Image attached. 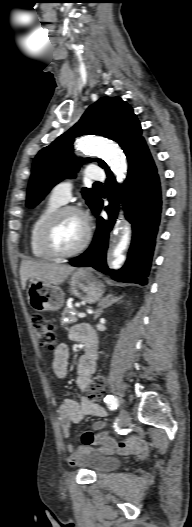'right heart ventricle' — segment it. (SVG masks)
Instances as JSON below:
<instances>
[{"label":"right heart ventricle","instance_id":"obj_1","mask_svg":"<svg viewBox=\"0 0 192 527\" xmlns=\"http://www.w3.org/2000/svg\"><path fill=\"white\" fill-rule=\"evenodd\" d=\"M62 203L50 198L35 215L29 230V247L31 254L38 259H50L40 243L41 228L46 219L59 208Z\"/></svg>","mask_w":192,"mask_h":527}]
</instances>
